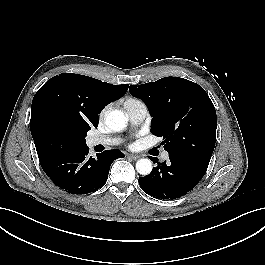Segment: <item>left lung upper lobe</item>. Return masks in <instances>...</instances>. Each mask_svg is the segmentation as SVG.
<instances>
[{
  "label": "left lung upper lobe",
  "mask_w": 265,
  "mask_h": 265,
  "mask_svg": "<svg viewBox=\"0 0 265 265\" xmlns=\"http://www.w3.org/2000/svg\"><path fill=\"white\" fill-rule=\"evenodd\" d=\"M153 116L151 132L163 137L169 157L186 160L207 169L216 142L217 116L205 90L179 77L131 85Z\"/></svg>",
  "instance_id": "obj_1"
}]
</instances>
